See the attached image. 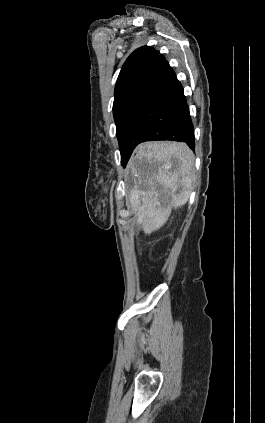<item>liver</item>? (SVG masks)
Returning <instances> with one entry per match:
<instances>
[{"mask_svg": "<svg viewBox=\"0 0 265 423\" xmlns=\"http://www.w3.org/2000/svg\"><path fill=\"white\" fill-rule=\"evenodd\" d=\"M144 164L150 169L145 170ZM128 168L139 177V184L130 191L131 209L137 226L150 234L167 222L172 208H179L188 201L194 155L185 143L145 142L135 149ZM158 185L170 190L165 199L160 197Z\"/></svg>", "mask_w": 265, "mask_h": 423, "instance_id": "liver-1", "label": "liver"}]
</instances>
